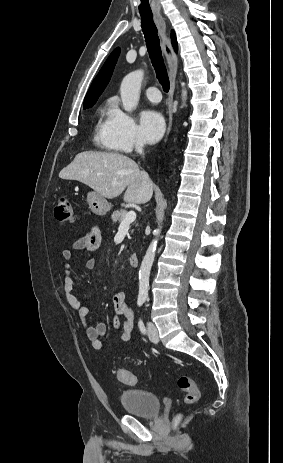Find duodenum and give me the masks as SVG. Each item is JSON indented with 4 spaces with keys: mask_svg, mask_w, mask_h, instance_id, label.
<instances>
[{
    "mask_svg": "<svg viewBox=\"0 0 283 463\" xmlns=\"http://www.w3.org/2000/svg\"><path fill=\"white\" fill-rule=\"evenodd\" d=\"M129 263L131 267H136L138 263V257L136 255H131L129 258Z\"/></svg>",
    "mask_w": 283,
    "mask_h": 463,
    "instance_id": "duodenum-1",
    "label": "duodenum"
}]
</instances>
